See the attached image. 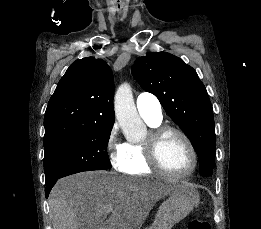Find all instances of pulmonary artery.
I'll return each mask as SVG.
<instances>
[{"mask_svg":"<svg viewBox=\"0 0 261 229\" xmlns=\"http://www.w3.org/2000/svg\"><path fill=\"white\" fill-rule=\"evenodd\" d=\"M136 106L140 116L153 123L162 121V105L158 98L147 92H142L137 96Z\"/></svg>","mask_w":261,"mask_h":229,"instance_id":"1","label":"pulmonary artery"}]
</instances>
